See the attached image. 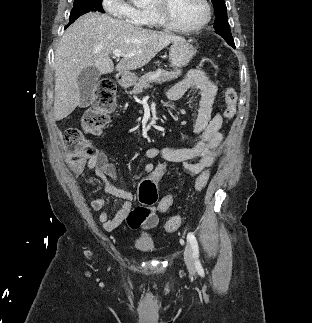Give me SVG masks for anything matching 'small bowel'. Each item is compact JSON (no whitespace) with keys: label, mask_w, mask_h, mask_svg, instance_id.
I'll return each instance as SVG.
<instances>
[{"label":"small bowel","mask_w":312,"mask_h":323,"mask_svg":"<svg viewBox=\"0 0 312 323\" xmlns=\"http://www.w3.org/2000/svg\"><path fill=\"white\" fill-rule=\"evenodd\" d=\"M195 89L202 95L199 113L193 127V134L198 137L197 142L191 147L163 148L150 147L145 156L148 162L144 171L151 176V167L159 157L168 158L169 163H181L186 173L192 176L199 175L204 169L210 167L216 160L223 143L222 115L217 112L212 115V106L217 86L201 69H192L179 82L171 85L167 90V99L171 102L178 101L188 90ZM88 168L104 183L102 196L92 199L90 206L98 211V219L106 231H113L122 223L130 229H150L157 225L158 216L149 212L148 216H141L140 209L133 208L134 194L109 183L108 179H116L117 173L114 165L108 162L103 152H96L88 161ZM107 196H113L123 201L120 209L110 217L104 209ZM159 207V206H158Z\"/></svg>","instance_id":"1"}]
</instances>
